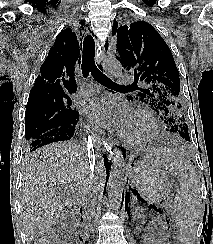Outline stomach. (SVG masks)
Instances as JSON below:
<instances>
[{
  "instance_id": "1",
  "label": "stomach",
  "mask_w": 213,
  "mask_h": 244,
  "mask_svg": "<svg viewBox=\"0 0 213 244\" xmlns=\"http://www.w3.org/2000/svg\"><path fill=\"white\" fill-rule=\"evenodd\" d=\"M162 159L157 149H136L130 157V180L149 203L166 199L175 186L161 165Z\"/></svg>"
}]
</instances>
